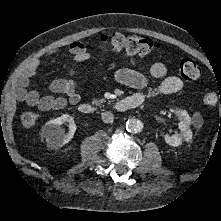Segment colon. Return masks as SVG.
I'll use <instances>...</instances> for the list:
<instances>
[{"label": "colon", "instance_id": "obj_1", "mask_svg": "<svg viewBox=\"0 0 221 221\" xmlns=\"http://www.w3.org/2000/svg\"><path fill=\"white\" fill-rule=\"evenodd\" d=\"M101 49L104 51H123L128 54L149 55L154 50V44L150 39L141 38L133 35H123L115 33L104 35L100 38ZM180 75L188 81L197 80L200 77L201 69L196 61L190 58L183 59L179 67ZM201 101L205 106L211 107L218 102L221 103V97L211 91L206 90L201 96ZM40 115L33 110L24 111L20 116V122L24 128H32L38 124Z\"/></svg>", "mask_w": 221, "mask_h": 221}]
</instances>
